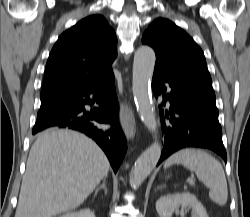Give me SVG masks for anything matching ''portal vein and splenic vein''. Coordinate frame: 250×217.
<instances>
[{"label": "portal vein and splenic vein", "instance_id": "portal-vein-and-splenic-vein-1", "mask_svg": "<svg viewBox=\"0 0 250 217\" xmlns=\"http://www.w3.org/2000/svg\"><path fill=\"white\" fill-rule=\"evenodd\" d=\"M190 184L191 185H194L195 184V181L194 180H189Z\"/></svg>", "mask_w": 250, "mask_h": 217}]
</instances>
